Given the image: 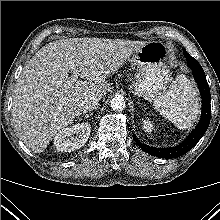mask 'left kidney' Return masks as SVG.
Here are the masks:
<instances>
[{"mask_svg":"<svg viewBox=\"0 0 220 220\" xmlns=\"http://www.w3.org/2000/svg\"><path fill=\"white\" fill-rule=\"evenodd\" d=\"M143 129L145 130V132L151 133L152 129H153V125H152L151 121L146 120V119L143 120Z\"/></svg>","mask_w":220,"mask_h":220,"instance_id":"5707ae66","label":"left kidney"}]
</instances>
